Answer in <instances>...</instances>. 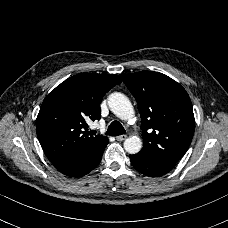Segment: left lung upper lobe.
Here are the masks:
<instances>
[{
	"label": "left lung upper lobe",
	"mask_w": 228,
	"mask_h": 228,
	"mask_svg": "<svg viewBox=\"0 0 228 228\" xmlns=\"http://www.w3.org/2000/svg\"><path fill=\"white\" fill-rule=\"evenodd\" d=\"M135 97L141 116L142 158L176 164L192 141L195 119L185 89L170 77L153 71L121 74Z\"/></svg>",
	"instance_id": "5c2ea615"
}]
</instances>
